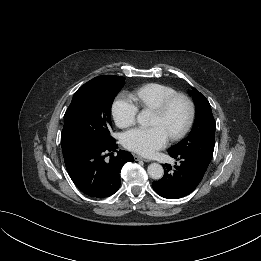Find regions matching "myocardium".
<instances>
[{
	"mask_svg": "<svg viewBox=\"0 0 261 261\" xmlns=\"http://www.w3.org/2000/svg\"><path fill=\"white\" fill-rule=\"evenodd\" d=\"M177 101H183L186 103L188 113H187V119L184 125L182 126V128L177 132L172 133L169 136L170 139L172 140H177L182 138L190 130L195 118V104L193 100L186 94L177 93L171 96L170 98H168L159 107L153 110V112L158 114L159 116H165Z\"/></svg>",
	"mask_w": 261,
	"mask_h": 261,
	"instance_id": "f54148a6",
	"label": "myocardium"
}]
</instances>
